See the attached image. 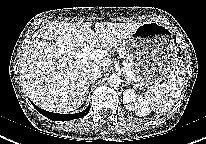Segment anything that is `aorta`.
Segmentation results:
<instances>
[{"instance_id":"1","label":"aorta","mask_w":206,"mask_h":144,"mask_svg":"<svg viewBox=\"0 0 206 144\" xmlns=\"http://www.w3.org/2000/svg\"><path fill=\"white\" fill-rule=\"evenodd\" d=\"M107 82L111 87H117L120 85L121 79L118 75L113 74L108 77Z\"/></svg>"}]
</instances>
